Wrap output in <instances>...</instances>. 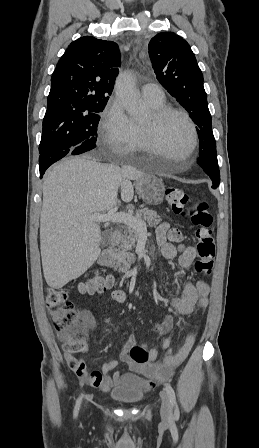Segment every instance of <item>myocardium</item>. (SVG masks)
Instances as JSON below:
<instances>
[{
	"instance_id": "obj_1",
	"label": "myocardium",
	"mask_w": 259,
	"mask_h": 448,
	"mask_svg": "<svg viewBox=\"0 0 259 448\" xmlns=\"http://www.w3.org/2000/svg\"><path fill=\"white\" fill-rule=\"evenodd\" d=\"M170 116H179L187 124L191 133V143L188 148V159L191 162L196 160V147L198 144L197 128L190 116L182 109L163 106L159 109H152L149 120L141 124V132L146 145L145 153L153 155L157 150L164 149L159 141L158 131L161 123ZM150 171H158L153 169Z\"/></svg>"
}]
</instances>
